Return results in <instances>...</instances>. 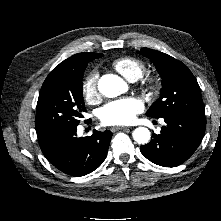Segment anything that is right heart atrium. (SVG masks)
Returning a JSON list of instances; mask_svg holds the SVG:
<instances>
[{
  "instance_id": "1",
  "label": "right heart atrium",
  "mask_w": 221,
  "mask_h": 221,
  "mask_svg": "<svg viewBox=\"0 0 221 221\" xmlns=\"http://www.w3.org/2000/svg\"><path fill=\"white\" fill-rule=\"evenodd\" d=\"M82 95L88 103H96L100 100L101 94L98 88V73L90 72L82 82Z\"/></svg>"
}]
</instances>
